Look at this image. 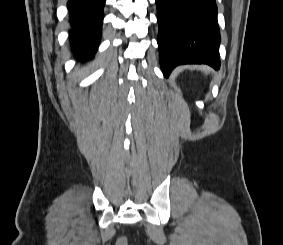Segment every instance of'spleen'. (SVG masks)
I'll return each instance as SVG.
<instances>
[{
    "mask_svg": "<svg viewBox=\"0 0 283 245\" xmlns=\"http://www.w3.org/2000/svg\"><path fill=\"white\" fill-rule=\"evenodd\" d=\"M200 70H202L203 72H205L206 74L209 73V68L205 67V66H201Z\"/></svg>",
    "mask_w": 283,
    "mask_h": 245,
    "instance_id": "1",
    "label": "spleen"
}]
</instances>
